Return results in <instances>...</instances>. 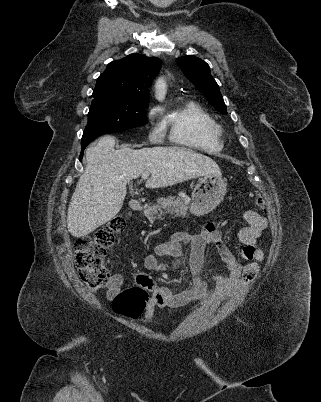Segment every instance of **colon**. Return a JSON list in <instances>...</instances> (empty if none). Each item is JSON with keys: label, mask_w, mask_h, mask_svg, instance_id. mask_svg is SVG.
<instances>
[{"label": "colon", "mask_w": 321, "mask_h": 402, "mask_svg": "<svg viewBox=\"0 0 321 402\" xmlns=\"http://www.w3.org/2000/svg\"><path fill=\"white\" fill-rule=\"evenodd\" d=\"M254 202L261 208L266 207V201L260 195L254 196ZM125 222L124 215L115 216L94 236L79 237L75 241L74 259L78 274L91 291L102 290L109 281L110 273L103 263V257L115 236L123 231ZM148 301V292L141 286H133L114 298L113 308L115 313L123 317L138 319L145 311Z\"/></svg>", "instance_id": "1"}]
</instances>
